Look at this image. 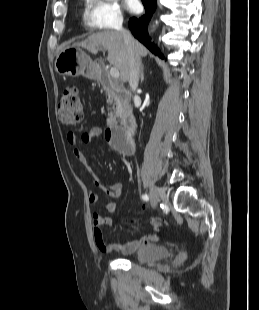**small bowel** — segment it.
Segmentation results:
<instances>
[{"label": "small bowel", "mask_w": 259, "mask_h": 310, "mask_svg": "<svg viewBox=\"0 0 259 310\" xmlns=\"http://www.w3.org/2000/svg\"><path fill=\"white\" fill-rule=\"evenodd\" d=\"M101 133H102V129L100 127L98 126L92 127L89 131L83 132L80 135V142L85 145L90 144L96 138H98L101 135ZM67 140L69 144L72 145V153L74 157L82 165L85 166L89 175L92 177L94 184L97 187H99L101 190H103L107 196L111 198L119 197L123 193V190H124L123 183L115 182V183L108 184V183L103 182L95 173L86 155L78 147L76 136L72 132H69L67 134ZM88 200L91 204H94L98 201V195L96 193H90L88 196ZM115 209H116V204L114 202H109L107 204V210L110 213H113ZM142 210H144V207H142ZM111 224H112L111 216L109 215L105 216L100 213H93L92 227H93L94 239H95L98 249L102 253L108 254V253L119 252L122 254H132L138 249H140L142 246L151 244L158 240V232H159L160 226L152 224L153 231L143 237L134 238L125 244H116V243L110 242L106 239L104 235L103 227L109 226Z\"/></svg>", "instance_id": "c3829d8e"}]
</instances>
